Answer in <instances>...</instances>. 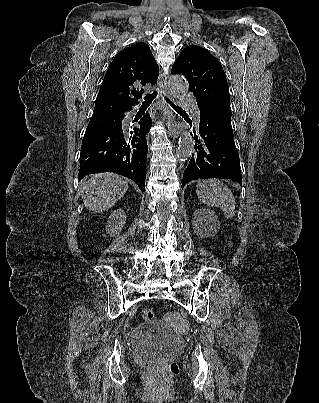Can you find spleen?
<instances>
[{
  "mask_svg": "<svg viewBox=\"0 0 319 403\" xmlns=\"http://www.w3.org/2000/svg\"><path fill=\"white\" fill-rule=\"evenodd\" d=\"M196 193L204 204L221 208L227 219L234 217V196L222 181L217 179L203 180L197 184Z\"/></svg>",
  "mask_w": 319,
  "mask_h": 403,
  "instance_id": "3e777b00",
  "label": "spleen"
}]
</instances>
